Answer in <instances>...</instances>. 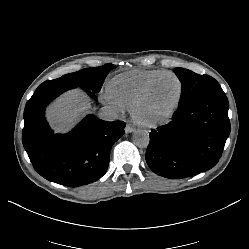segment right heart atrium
<instances>
[{"label": "right heart atrium", "instance_id": "1", "mask_svg": "<svg viewBox=\"0 0 249 249\" xmlns=\"http://www.w3.org/2000/svg\"><path fill=\"white\" fill-rule=\"evenodd\" d=\"M105 105L114 113L120 114L126 110V106L123 105L120 101L106 94L103 97Z\"/></svg>", "mask_w": 249, "mask_h": 249}]
</instances>
